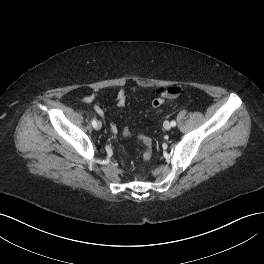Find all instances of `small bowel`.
<instances>
[{"instance_id": "1", "label": "small bowel", "mask_w": 264, "mask_h": 264, "mask_svg": "<svg viewBox=\"0 0 264 264\" xmlns=\"http://www.w3.org/2000/svg\"><path fill=\"white\" fill-rule=\"evenodd\" d=\"M158 94L160 97L164 99H174L178 97L182 89L179 86H170L165 88L158 89ZM96 94H90L83 98V102L86 104L94 103V110L96 114L100 117H104L106 113V107L101 105L100 103L96 102ZM128 97V91L126 89L119 90L115 95V105L118 107H122L126 104ZM110 128L113 132L117 131V126L115 124H110Z\"/></svg>"}]
</instances>
